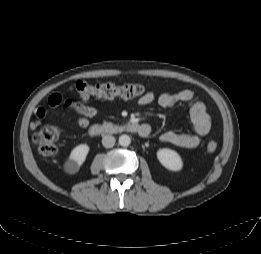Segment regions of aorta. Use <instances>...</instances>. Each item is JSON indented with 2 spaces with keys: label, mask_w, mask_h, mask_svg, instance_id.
Wrapping results in <instances>:
<instances>
[{
  "label": "aorta",
  "mask_w": 261,
  "mask_h": 254,
  "mask_svg": "<svg viewBox=\"0 0 261 254\" xmlns=\"http://www.w3.org/2000/svg\"><path fill=\"white\" fill-rule=\"evenodd\" d=\"M130 143H131V138L128 135L124 134L119 137V144L121 146L127 147L130 145Z\"/></svg>",
  "instance_id": "1"
}]
</instances>
